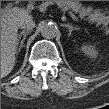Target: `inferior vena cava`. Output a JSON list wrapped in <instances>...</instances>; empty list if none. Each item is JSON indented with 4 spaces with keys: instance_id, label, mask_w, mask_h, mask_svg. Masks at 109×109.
<instances>
[{
    "instance_id": "inferior-vena-cava-1",
    "label": "inferior vena cava",
    "mask_w": 109,
    "mask_h": 109,
    "mask_svg": "<svg viewBox=\"0 0 109 109\" xmlns=\"http://www.w3.org/2000/svg\"><path fill=\"white\" fill-rule=\"evenodd\" d=\"M19 27L25 30H32L35 27V22L31 19L24 20L19 23Z\"/></svg>"
}]
</instances>
